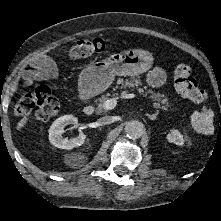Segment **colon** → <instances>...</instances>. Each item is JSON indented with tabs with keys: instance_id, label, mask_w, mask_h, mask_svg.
Masks as SVG:
<instances>
[{
	"instance_id": "5ec220e1",
	"label": "colon",
	"mask_w": 221,
	"mask_h": 221,
	"mask_svg": "<svg viewBox=\"0 0 221 221\" xmlns=\"http://www.w3.org/2000/svg\"><path fill=\"white\" fill-rule=\"evenodd\" d=\"M105 49V42L100 38L84 39L75 42L69 56L73 59H82L101 53ZM174 85L176 91L194 103H203L207 93L199 88L192 76V68L188 64H179L174 70ZM35 109L34 117L38 121L49 120L59 110L58 99L52 94L49 87L41 85L32 92L23 95L14 108V114L23 116Z\"/></svg>"
}]
</instances>
